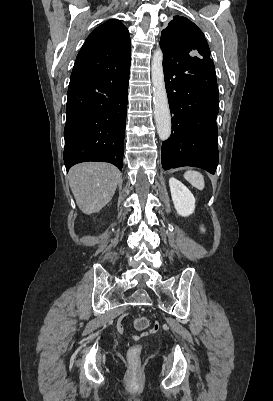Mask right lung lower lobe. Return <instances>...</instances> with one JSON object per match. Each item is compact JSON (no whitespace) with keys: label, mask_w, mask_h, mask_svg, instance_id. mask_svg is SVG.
I'll list each match as a JSON object with an SVG mask.
<instances>
[{"label":"right lung lower lobe","mask_w":273,"mask_h":401,"mask_svg":"<svg viewBox=\"0 0 273 401\" xmlns=\"http://www.w3.org/2000/svg\"><path fill=\"white\" fill-rule=\"evenodd\" d=\"M130 59L68 89L64 130L67 171L85 161L123 166Z\"/></svg>","instance_id":"98d812e1"}]
</instances>
